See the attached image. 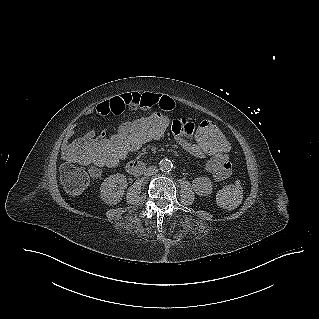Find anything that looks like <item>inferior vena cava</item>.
<instances>
[{"instance_id":"inferior-vena-cava-1","label":"inferior vena cava","mask_w":319,"mask_h":319,"mask_svg":"<svg viewBox=\"0 0 319 319\" xmlns=\"http://www.w3.org/2000/svg\"><path fill=\"white\" fill-rule=\"evenodd\" d=\"M158 172V168L157 167H149L146 171V175L151 176V175H155Z\"/></svg>"}]
</instances>
